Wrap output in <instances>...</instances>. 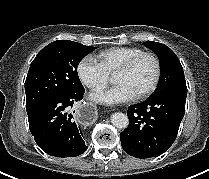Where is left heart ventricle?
Here are the masks:
<instances>
[{
  "label": "left heart ventricle",
  "mask_w": 209,
  "mask_h": 179,
  "mask_svg": "<svg viewBox=\"0 0 209 179\" xmlns=\"http://www.w3.org/2000/svg\"><path fill=\"white\" fill-rule=\"evenodd\" d=\"M155 76V64L149 57L142 58L129 72L114 76L116 84H123L134 95L146 90Z\"/></svg>",
  "instance_id": "obj_1"
}]
</instances>
